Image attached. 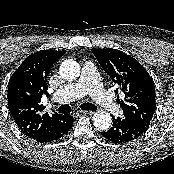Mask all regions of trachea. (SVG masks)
Here are the masks:
<instances>
[{
	"label": "trachea",
	"mask_w": 174,
	"mask_h": 174,
	"mask_svg": "<svg viewBox=\"0 0 174 174\" xmlns=\"http://www.w3.org/2000/svg\"><path fill=\"white\" fill-rule=\"evenodd\" d=\"M80 108L83 110H92V111H95L97 109V107L92 103H83L81 104ZM57 110L59 113H70L71 107L69 105H61Z\"/></svg>",
	"instance_id": "1"
}]
</instances>
